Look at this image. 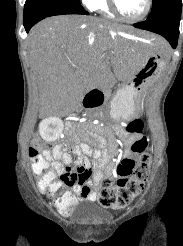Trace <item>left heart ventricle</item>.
I'll use <instances>...</instances> for the list:
<instances>
[{
    "mask_svg": "<svg viewBox=\"0 0 183 246\" xmlns=\"http://www.w3.org/2000/svg\"><path fill=\"white\" fill-rule=\"evenodd\" d=\"M121 12L129 18L140 16L146 7V0H117Z\"/></svg>",
    "mask_w": 183,
    "mask_h": 246,
    "instance_id": "left-heart-ventricle-1",
    "label": "left heart ventricle"
}]
</instances>
